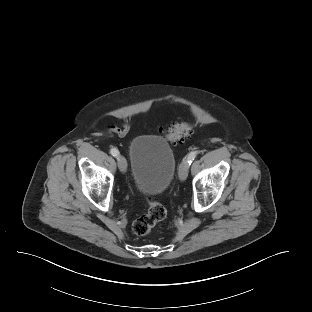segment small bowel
I'll return each mask as SVG.
<instances>
[{"mask_svg": "<svg viewBox=\"0 0 312 312\" xmlns=\"http://www.w3.org/2000/svg\"><path fill=\"white\" fill-rule=\"evenodd\" d=\"M109 135L125 136L129 132V125L124 123L121 126L110 124L106 127Z\"/></svg>", "mask_w": 312, "mask_h": 312, "instance_id": "c3829d8e", "label": "small bowel"}]
</instances>
